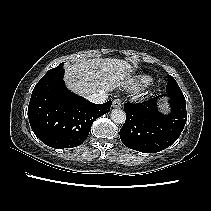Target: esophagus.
Here are the masks:
<instances>
[{
  "label": "esophagus",
  "instance_id": "obj_1",
  "mask_svg": "<svg viewBox=\"0 0 211 211\" xmlns=\"http://www.w3.org/2000/svg\"><path fill=\"white\" fill-rule=\"evenodd\" d=\"M121 105H122V102H121L120 99L117 98V99H114V100H113L112 106H113L114 108H120Z\"/></svg>",
  "mask_w": 211,
  "mask_h": 211
}]
</instances>
